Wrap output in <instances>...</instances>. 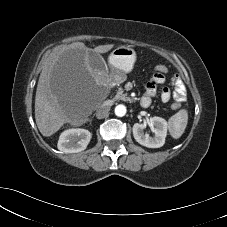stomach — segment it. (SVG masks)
Wrapping results in <instances>:
<instances>
[{"mask_svg": "<svg viewBox=\"0 0 227 227\" xmlns=\"http://www.w3.org/2000/svg\"><path fill=\"white\" fill-rule=\"evenodd\" d=\"M136 60V52L130 46L121 45L115 48L109 56V64L119 72V80L124 79V75L133 69Z\"/></svg>", "mask_w": 227, "mask_h": 227, "instance_id": "obj_1", "label": "stomach"}]
</instances>
